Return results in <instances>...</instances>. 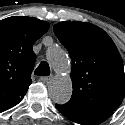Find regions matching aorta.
I'll return each mask as SVG.
<instances>
[{"label": "aorta", "mask_w": 125, "mask_h": 125, "mask_svg": "<svg viewBox=\"0 0 125 125\" xmlns=\"http://www.w3.org/2000/svg\"><path fill=\"white\" fill-rule=\"evenodd\" d=\"M47 60L57 75L48 84L51 99L57 104L69 101L72 95V81L66 73L70 70V62L66 52L60 47H50L46 53Z\"/></svg>", "instance_id": "762f6f07"}]
</instances>
